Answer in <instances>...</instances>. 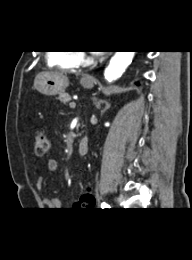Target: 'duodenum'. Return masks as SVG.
Instances as JSON below:
<instances>
[{"label":"duodenum","instance_id":"410a0bca","mask_svg":"<svg viewBox=\"0 0 192 260\" xmlns=\"http://www.w3.org/2000/svg\"><path fill=\"white\" fill-rule=\"evenodd\" d=\"M89 150V139L87 137H83L77 146V153L80 156H84L88 153Z\"/></svg>","mask_w":192,"mask_h":260}]
</instances>
